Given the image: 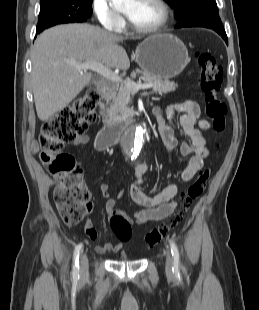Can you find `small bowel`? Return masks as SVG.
<instances>
[{
  "label": "small bowel",
  "mask_w": 259,
  "mask_h": 310,
  "mask_svg": "<svg viewBox=\"0 0 259 310\" xmlns=\"http://www.w3.org/2000/svg\"><path fill=\"white\" fill-rule=\"evenodd\" d=\"M167 117L174 121L177 129L187 138L179 144L177 138L174 135V130L171 126L166 124L161 108L157 105L152 107V113L157 120L159 132L162 141L166 147L169 162L173 152L180 148L181 155L189 157L188 163L181 171L180 178L183 182H189L200 171L204 164V159L208 155V149L206 146L205 138L202 134V130L209 129V123L200 118V107L197 102L193 100H185L183 102L169 104L166 109ZM88 135H82L77 137L72 144L74 146L84 145L88 143ZM34 150L38 147L33 145ZM149 166L146 163H140L135 167L134 174L136 181L129 188V194L131 199L143 209L137 211L133 218L125 215L116 208V200L109 198L111 191L108 183H101L100 190L105 198H109L106 203V211L111 217L114 214L123 215L130 223L144 224L150 221H160L167 218L175 210L177 203L173 201L177 195V185L169 180L166 186L154 196L145 194L140 186L143 183V178L148 171ZM92 206L87 211L88 214L92 212ZM85 234L90 239L97 238V231L92 227L90 219H87L85 225ZM122 242L116 244L107 242L103 245H97L95 250L98 254H105L107 252L118 253L122 249Z\"/></svg>",
  "instance_id": "c3829d8e"
}]
</instances>
